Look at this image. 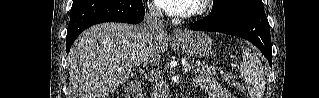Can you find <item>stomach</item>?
I'll return each instance as SVG.
<instances>
[{
  "label": "stomach",
  "instance_id": "obj_1",
  "mask_svg": "<svg viewBox=\"0 0 319 98\" xmlns=\"http://www.w3.org/2000/svg\"><path fill=\"white\" fill-rule=\"evenodd\" d=\"M178 44L185 54L194 58H204L212 49L211 38L202 32H186L178 40Z\"/></svg>",
  "mask_w": 319,
  "mask_h": 98
}]
</instances>
